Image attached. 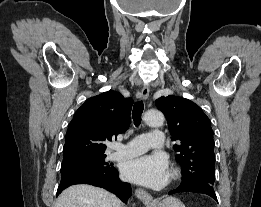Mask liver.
Returning a JSON list of instances; mask_svg holds the SVG:
<instances>
[{"label": "liver", "instance_id": "6515ba94", "mask_svg": "<svg viewBox=\"0 0 261 207\" xmlns=\"http://www.w3.org/2000/svg\"><path fill=\"white\" fill-rule=\"evenodd\" d=\"M54 207H121V201L102 188L78 184L65 189Z\"/></svg>", "mask_w": 261, "mask_h": 207}]
</instances>
